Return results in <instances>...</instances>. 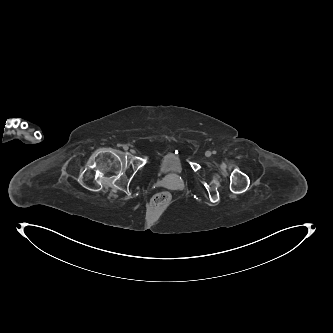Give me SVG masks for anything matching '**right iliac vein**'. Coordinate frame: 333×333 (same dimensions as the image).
Returning <instances> with one entry per match:
<instances>
[{
  "label": "right iliac vein",
  "mask_w": 333,
  "mask_h": 333,
  "mask_svg": "<svg viewBox=\"0 0 333 333\" xmlns=\"http://www.w3.org/2000/svg\"><path fill=\"white\" fill-rule=\"evenodd\" d=\"M131 152H132V153H136V151H135V150H133V149L131 150Z\"/></svg>",
  "instance_id": "1"
}]
</instances>
